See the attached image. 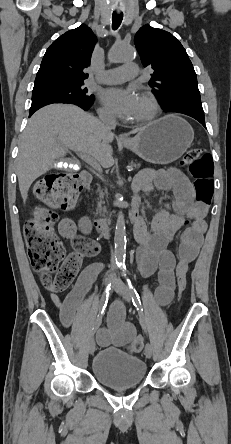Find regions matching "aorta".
<instances>
[{
	"label": "aorta",
	"instance_id": "1",
	"mask_svg": "<svg viewBox=\"0 0 231 444\" xmlns=\"http://www.w3.org/2000/svg\"><path fill=\"white\" fill-rule=\"evenodd\" d=\"M133 56L134 49L130 45L119 41L113 46L109 59L111 62L120 63L133 59ZM114 242L116 263L121 264L125 260L126 248V228L124 215L122 212H119L117 216Z\"/></svg>",
	"mask_w": 231,
	"mask_h": 444
}]
</instances>
